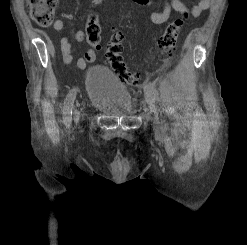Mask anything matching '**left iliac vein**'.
Returning <instances> with one entry per match:
<instances>
[{
	"label": "left iliac vein",
	"instance_id": "obj_1",
	"mask_svg": "<svg viewBox=\"0 0 247 245\" xmlns=\"http://www.w3.org/2000/svg\"><path fill=\"white\" fill-rule=\"evenodd\" d=\"M146 101L148 103L149 109L151 110V112L154 115V120H153L154 129L156 131H160L161 130V122H160V118L158 115V110H157V106L155 104V101L149 95L146 96Z\"/></svg>",
	"mask_w": 247,
	"mask_h": 245
}]
</instances>
